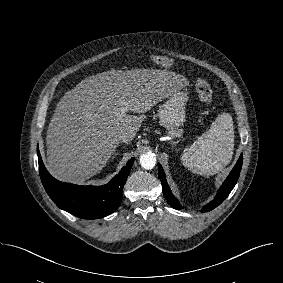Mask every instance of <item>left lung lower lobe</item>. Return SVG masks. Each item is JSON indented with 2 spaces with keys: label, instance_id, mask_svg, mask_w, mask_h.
I'll return each instance as SVG.
<instances>
[{
  "label": "left lung lower lobe",
  "instance_id": "0a47b994",
  "mask_svg": "<svg viewBox=\"0 0 283 283\" xmlns=\"http://www.w3.org/2000/svg\"><path fill=\"white\" fill-rule=\"evenodd\" d=\"M242 162H243V156L240 155L236 165L234 166L233 170L229 174V176L226 178L220 189L218 190V193L216 197L207 205H205L202 209L203 212L211 211L212 209L216 208L218 205H220L229 195V193L234 188L242 168ZM159 170L158 175L162 184V191L164 194L165 199L167 200L168 204L175 208L180 209L183 208L181 204L178 202V200L174 197L172 194L166 179H165V173L161 167L160 164H158Z\"/></svg>",
  "mask_w": 283,
  "mask_h": 283
}]
</instances>
